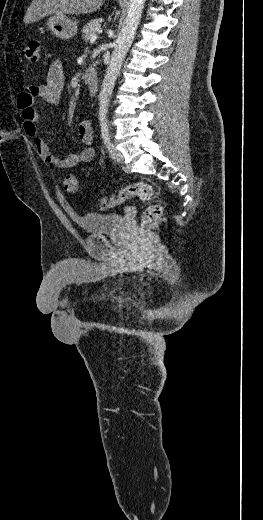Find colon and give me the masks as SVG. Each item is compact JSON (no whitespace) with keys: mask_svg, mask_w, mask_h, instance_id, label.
I'll return each mask as SVG.
<instances>
[{"mask_svg":"<svg viewBox=\"0 0 263 520\" xmlns=\"http://www.w3.org/2000/svg\"><path fill=\"white\" fill-rule=\"evenodd\" d=\"M40 43L36 39L27 42L22 50V55L30 62L39 59ZM63 187L67 192L75 193L78 190V179L74 175H67L63 180ZM154 188L146 182H137L120 189L116 194L103 197L98 202V208L105 210L125 202L127 199L137 197L142 201L149 202L154 197ZM163 214V209L158 204H150L142 214V224L150 225L157 221Z\"/></svg>","mask_w":263,"mask_h":520,"instance_id":"obj_1","label":"colon"}]
</instances>
